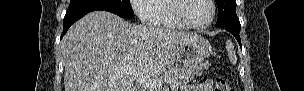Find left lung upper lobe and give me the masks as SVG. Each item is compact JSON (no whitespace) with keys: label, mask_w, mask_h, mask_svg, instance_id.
<instances>
[{"label":"left lung upper lobe","mask_w":304,"mask_h":91,"mask_svg":"<svg viewBox=\"0 0 304 91\" xmlns=\"http://www.w3.org/2000/svg\"><path fill=\"white\" fill-rule=\"evenodd\" d=\"M218 6L217 26L226 28L230 26H241L236 14V0H215Z\"/></svg>","instance_id":"1"}]
</instances>
